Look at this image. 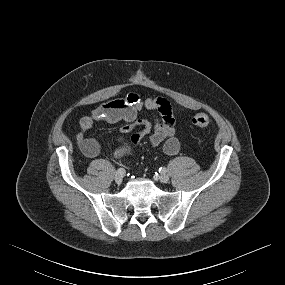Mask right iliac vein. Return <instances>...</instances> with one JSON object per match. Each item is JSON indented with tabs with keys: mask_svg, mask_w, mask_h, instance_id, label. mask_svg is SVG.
<instances>
[{
	"mask_svg": "<svg viewBox=\"0 0 285 285\" xmlns=\"http://www.w3.org/2000/svg\"><path fill=\"white\" fill-rule=\"evenodd\" d=\"M115 182L117 183V184H121L122 183V181H123V176L121 175V174H119V173H117L116 175H115Z\"/></svg>",
	"mask_w": 285,
	"mask_h": 285,
	"instance_id": "1",
	"label": "right iliac vein"
}]
</instances>
